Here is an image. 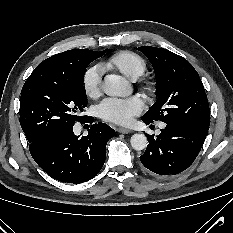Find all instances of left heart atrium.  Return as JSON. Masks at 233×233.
I'll use <instances>...</instances> for the list:
<instances>
[{
    "label": "left heart atrium",
    "instance_id": "left-heart-atrium-1",
    "mask_svg": "<svg viewBox=\"0 0 233 233\" xmlns=\"http://www.w3.org/2000/svg\"><path fill=\"white\" fill-rule=\"evenodd\" d=\"M144 108L143 101L136 96L129 98H106L98 105L99 116L107 121L127 125Z\"/></svg>",
    "mask_w": 233,
    "mask_h": 233
}]
</instances>
